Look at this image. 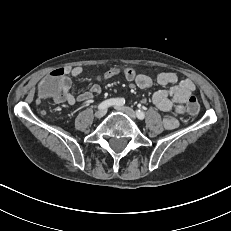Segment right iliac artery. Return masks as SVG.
I'll return each mask as SVG.
<instances>
[{
  "label": "right iliac artery",
  "mask_w": 231,
  "mask_h": 231,
  "mask_svg": "<svg viewBox=\"0 0 231 231\" xmlns=\"http://www.w3.org/2000/svg\"><path fill=\"white\" fill-rule=\"evenodd\" d=\"M125 100L123 98H112L103 101L98 105V109H106L110 106H122L124 105Z\"/></svg>",
  "instance_id": "right-iliac-artery-1"
}]
</instances>
